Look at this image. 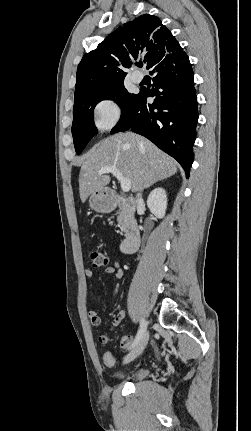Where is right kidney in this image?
I'll list each match as a JSON object with an SVG mask.
<instances>
[{
    "label": "right kidney",
    "mask_w": 251,
    "mask_h": 431,
    "mask_svg": "<svg viewBox=\"0 0 251 431\" xmlns=\"http://www.w3.org/2000/svg\"><path fill=\"white\" fill-rule=\"evenodd\" d=\"M147 206L151 213L156 217L160 219L163 218L167 208V196L165 190L163 188L154 189L147 199Z\"/></svg>",
    "instance_id": "obj_1"
}]
</instances>
